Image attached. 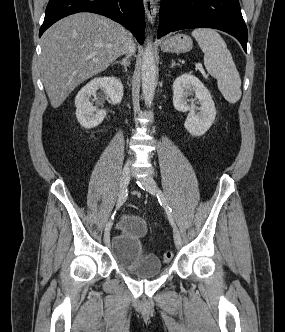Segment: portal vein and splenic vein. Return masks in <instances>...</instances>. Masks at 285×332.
Here are the masks:
<instances>
[{
	"instance_id": "18ae733b",
	"label": "portal vein and splenic vein",
	"mask_w": 285,
	"mask_h": 332,
	"mask_svg": "<svg viewBox=\"0 0 285 332\" xmlns=\"http://www.w3.org/2000/svg\"><path fill=\"white\" fill-rule=\"evenodd\" d=\"M196 67H197L198 69H202V64L197 63V64H196Z\"/></svg>"
}]
</instances>
